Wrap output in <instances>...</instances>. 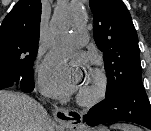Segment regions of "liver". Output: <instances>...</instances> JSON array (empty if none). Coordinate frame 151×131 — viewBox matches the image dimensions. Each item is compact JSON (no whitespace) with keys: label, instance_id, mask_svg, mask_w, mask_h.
<instances>
[{"label":"liver","instance_id":"6515ba94","mask_svg":"<svg viewBox=\"0 0 151 131\" xmlns=\"http://www.w3.org/2000/svg\"><path fill=\"white\" fill-rule=\"evenodd\" d=\"M0 131H53V128L47 111L36 100L22 93L0 91Z\"/></svg>","mask_w":151,"mask_h":131}]
</instances>
